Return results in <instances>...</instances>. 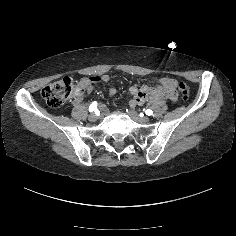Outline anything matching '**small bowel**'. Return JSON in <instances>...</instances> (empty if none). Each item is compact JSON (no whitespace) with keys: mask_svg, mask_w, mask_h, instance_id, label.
I'll return each mask as SVG.
<instances>
[{"mask_svg":"<svg viewBox=\"0 0 236 236\" xmlns=\"http://www.w3.org/2000/svg\"><path fill=\"white\" fill-rule=\"evenodd\" d=\"M93 80L95 81H102V82H108V80H109V76L108 75H103V76H101V77H95V78H93ZM163 81L164 82H170L171 83V80H169V79H167V78H164L163 79ZM92 90V85L91 84H89V86L87 87V91H91ZM115 92H116V90L114 89V88H109V93L110 94H115ZM131 93L135 96V94L136 93H138V90H137V88H132L131 89ZM82 94L81 95H79V96H77L76 98H75V103L76 104H78V103H80L81 101H82ZM137 101H140L139 100V98L137 99Z\"/></svg>","mask_w":236,"mask_h":236,"instance_id":"obj_1","label":"small bowel"}]
</instances>
